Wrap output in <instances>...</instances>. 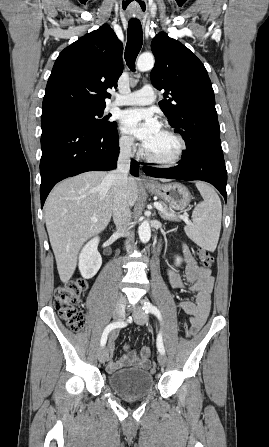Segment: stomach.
<instances>
[{
    "label": "stomach",
    "instance_id": "1",
    "mask_svg": "<svg viewBox=\"0 0 269 447\" xmlns=\"http://www.w3.org/2000/svg\"><path fill=\"white\" fill-rule=\"evenodd\" d=\"M148 190L154 196L162 198L174 210H185L191 202L189 190L181 184H152V186H148Z\"/></svg>",
    "mask_w": 269,
    "mask_h": 447
}]
</instances>
